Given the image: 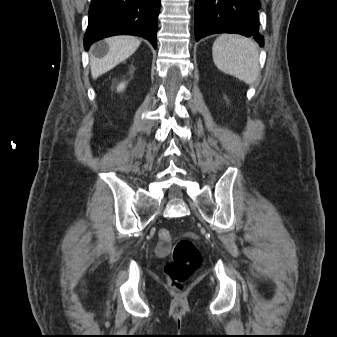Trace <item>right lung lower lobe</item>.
I'll return each mask as SVG.
<instances>
[{
	"label": "right lung lower lobe",
	"mask_w": 337,
	"mask_h": 337,
	"mask_svg": "<svg viewBox=\"0 0 337 337\" xmlns=\"http://www.w3.org/2000/svg\"><path fill=\"white\" fill-rule=\"evenodd\" d=\"M160 0H92L84 37L86 50L105 37L141 36L156 48Z\"/></svg>",
	"instance_id": "right-lung-lower-lobe-1"
}]
</instances>
